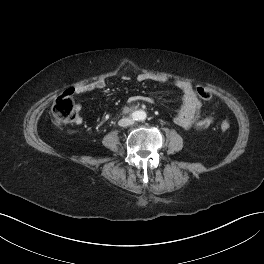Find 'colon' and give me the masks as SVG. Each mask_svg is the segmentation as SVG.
Masks as SVG:
<instances>
[{"label":"colon","instance_id":"5ec220e1","mask_svg":"<svg viewBox=\"0 0 264 264\" xmlns=\"http://www.w3.org/2000/svg\"><path fill=\"white\" fill-rule=\"evenodd\" d=\"M195 91L197 95L203 100H210L212 97L210 91L202 86H197L195 88ZM52 114L54 122L57 125L69 123L75 120V118L77 117V110L72 98V92H64L56 99ZM212 123V118H203L196 121L194 123V127L199 130H204L209 128ZM220 128L222 131H228L230 129V123L227 121H223L220 125Z\"/></svg>","mask_w":264,"mask_h":264}]
</instances>
